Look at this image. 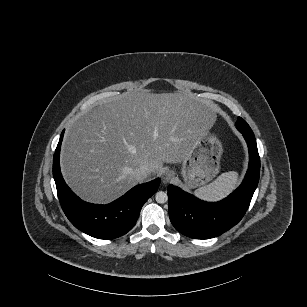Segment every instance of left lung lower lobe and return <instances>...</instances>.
Returning <instances> with one entry per match:
<instances>
[{"label": "left lung lower lobe", "instance_id": "0a47b994", "mask_svg": "<svg viewBox=\"0 0 307 307\" xmlns=\"http://www.w3.org/2000/svg\"><path fill=\"white\" fill-rule=\"evenodd\" d=\"M249 149V168L238 189L219 202H204L180 188L168 186L169 217L180 233L195 239L221 235L236 225L249 207L258 185L260 158L252 131L238 129Z\"/></svg>", "mask_w": 307, "mask_h": 307}]
</instances>
